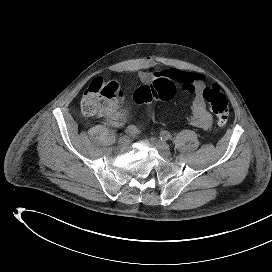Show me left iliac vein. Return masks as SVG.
<instances>
[{"instance_id":"4c4485c4","label":"left iliac vein","mask_w":272,"mask_h":272,"mask_svg":"<svg viewBox=\"0 0 272 272\" xmlns=\"http://www.w3.org/2000/svg\"><path fill=\"white\" fill-rule=\"evenodd\" d=\"M151 143L162 156L169 157L171 155L170 147L164 141L157 138H151Z\"/></svg>"}]
</instances>
